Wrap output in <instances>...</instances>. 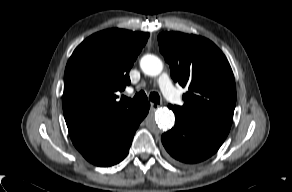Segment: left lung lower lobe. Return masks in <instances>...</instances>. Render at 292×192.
Listing matches in <instances>:
<instances>
[{
  "label": "left lung lower lobe",
  "mask_w": 292,
  "mask_h": 192,
  "mask_svg": "<svg viewBox=\"0 0 292 192\" xmlns=\"http://www.w3.org/2000/svg\"><path fill=\"white\" fill-rule=\"evenodd\" d=\"M228 133L229 130L225 128L184 122L176 118L175 126L164 133L161 140L174 160L192 164L216 153Z\"/></svg>",
  "instance_id": "obj_1"
}]
</instances>
